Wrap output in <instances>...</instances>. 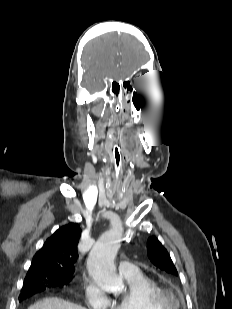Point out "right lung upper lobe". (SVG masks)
Returning a JSON list of instances; mask_svg holds the SVG:
<instances>
[{
  "label": "right lung upper lobe",
  "mask_w": 232,
  "mask_h": 309,
  "mask_svg": "<svg viewBox=\"0 0 232 309\" xmlns=\"http://www.w3.org/2000/svg\"><path fill=\"white\" fill-rule=\"evenodd\" d=\"M81 229L76 223L60 227L36 252L27 275L40 272L55 273L71 278L77 260V245Z\"/></svg>",
  "instance_id": "obj_1"
}]
</instances>
